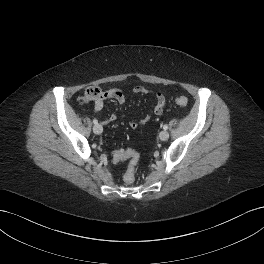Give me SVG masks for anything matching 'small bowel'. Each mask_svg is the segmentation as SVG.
<instances>
[{"mask_svg":"<svg viewBox=\"0 0 264 264\" xmlns=\"http://www.w3.org/2000/svg\"><path fill=\"white\" fill-rule=\"evenodd\" d=\"M132 93L133 94H154L156 101H155V104L153 106L152 113L155 115H161L164 112L165 107H166V99H165L162 92H160V91L154 92V91H151L150 89H148L144 86H135L132 89ZM108 99L115 100L119 103H124L127 99V96H126L125 91L122 88L108 89V90L103 92L102 96L99 99L94 101V104H93L94 112L95 113L100 112L103 108L105 100H108ZM149 118H150V116H146L145 118H143L140 121L133 120L130 122V125L134 129L138 128L139 126L146 124L148 122ZM116 119H117V116L115 114H112L104 121V123L107 124V123L115 121ZM121 151L122 150H117L112 154V160L114 162H119L121 160H124L118 156V154Z\"/></svg>","mask_w":264,"mask_h":264,"instance_id":"1","label":"small bowel"}]
</instances>
